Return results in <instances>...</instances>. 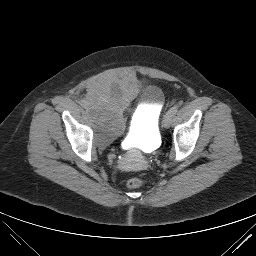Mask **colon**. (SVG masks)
Here are the masks:
<instances>
[{
    "label": "colon",
    "instance_id": "obj_1",
    "mask_svg": "<svg viewBox=\"0 0 256 256\" xmlns=\"http://www.w3.org/2000/svg\"><path fill=\"white\" fill-rule=\"evenodd\" d=\"M144 181L141 178H131L127 181V186L130 189H136L143 186Z\"/></svg>",
    "mask_w": 256,
    "mask_h": 256
}]
</instances>
